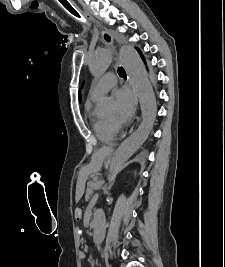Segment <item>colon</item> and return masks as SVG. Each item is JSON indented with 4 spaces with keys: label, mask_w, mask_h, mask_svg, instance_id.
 Segmentation results:
<instances>
[{
    "label": "colon",
    "mask_w": 225,
    "mask_h": 267,
    "mask_svg": "<svg viewBox=\"0 0 225 267\" xmlns=\"http://www.w3.org/2000/svg\"><path fill=\"white\" fill-rule=\"evenodd\" d=\"M61 3L62 7L70 14H78L72 4L65 2L64 0H58ZM74 216L77 220L81 219L82 217V209L80 207H76L74 210Z\"/></svg>",
    "instance_id": "1"
}]
</instances>
